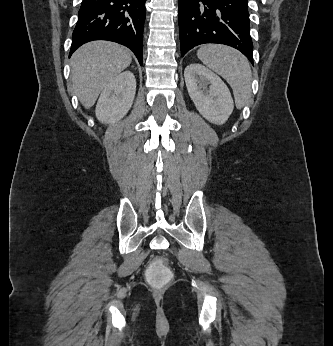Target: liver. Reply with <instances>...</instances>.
I'll return each mask as SVG.
<instances>
[{"label":"liver","instance_id":"1","mask_svg":"<svg viewBox=\"0 0 333 346\" xmlns=\"http://www.w3.org/2000/svg\"><path fill=\"white\" fill-rule=\"evenodd\" d=\"M131 61V54L126 48L108 41L86 43L72 55V84L85 109L94 105L106 85Z\"/></svg>","mask_w":333,"mask_h":346}]
</instances>
